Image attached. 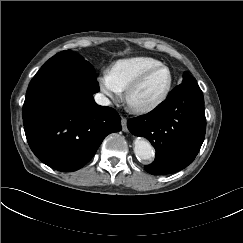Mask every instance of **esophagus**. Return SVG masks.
<instances>
[{"label":"esophagus","instance_id":"obj_1","mask_svg":"<svg viewBox=\"0 0 243 243\" xmlns=\"http://www.w3.org/2000/svg\"><path fill=\"white\" fill-rule=\"evenodd\" d=\"M121 125H122V130L124 132H128V128H127V119L125 117L121 118Z\"/></svg>","mask_w":243,"mask_h":243}]
</instances>
